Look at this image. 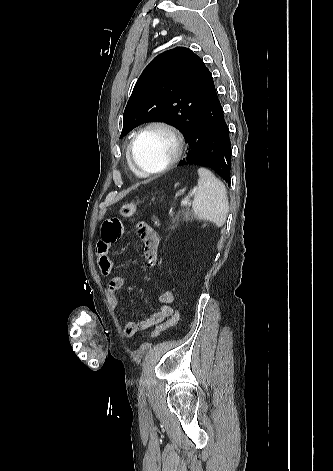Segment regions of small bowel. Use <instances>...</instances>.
Instances as JSON below:
<instances>
[{
	"label": "small bowel",
	"instance_id": "obj_1",
	"mask_svg": "<svg viewBox=\"0 0 333 471\" xmlns=\"http://www.w3.org/2000/svg\"><path fill=\"white\" fill-rule=\"evenodd\" d=\"M123 232V225L119 218L110 217L103 221L101 225V238L96 245L97 261L100 271L103 275H110L113 270V260L110 257V249L112 244L116 242ZM137 232L143 243V253L147 266L153 267L157 263L159 249V235L148 224L140 223L137 226ZM124 285V278L116 275L108 282L105 294L107 301L111 307L118 304V291ZM161 306L146 319L134 322L128 321L124 324V335L127 338L133 337L137 332H143L152 326L162 322L170 317L174 310L172 304L174 302V294L172 291L165 290L159 296Z\"/></svg>",
	"mask_w": 333,
	"mask_h": 471
}]
</instances>
